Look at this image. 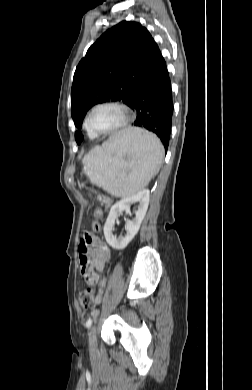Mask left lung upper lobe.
<instances>
[{"mask_svg":"<svg viewBox=\"0 0 252 390\" xmlns=\"http://www.w3.org/2000/svg\"><path fill=\"white\" fill-rule=\"evenodd\" d=\"M161 52L148 30L137 22L122 21L103 33L78 64L71 89V115L80 127L95 104L131 97ZM78 144L83 140L75 133Z\"/></svg>","mask_w":252,"mask_h":390,"instance_id":"1","label":"left lung upper lobe"}]
</instances>
